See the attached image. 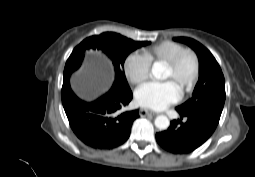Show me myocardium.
Segmentation results:
<instances>
[{
    "label": "myocardium",
    "mask_w": 255,
    "mask_h": 177,
    "mask_svg": "<svg viewBox=\"0 0 255 177\" xmlns=\"http://www.w3.org/2000/svg\"><path fill=\"white\" fill-rule=\"evenodd\" d=\"M187 56L191 57L193 60V73L187 84L180 89L181 92H187L191 90L198 80L200 72V60L197 53L192 49L184 48L179 53H177L171 60L164 63L165 67L169 68L171 71H176L180 67L184 58Z\"/></svg>",
    "instance_id": "obj_1"
}]
</instances>
